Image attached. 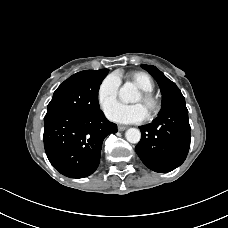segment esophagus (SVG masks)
I'll use <instances>...</instances> for the list:
<instances>
[{"label":"esophagus","instance_id":"esophagus-1","mask_svg":"<svg viewBox=\"0 0 228 228\" xmlns=\"http://www.w3.org/2000/svg\"><path fill=\"white\" fill-rule=\"evenodd\" d=\"M127 129V126H123V125H118V130L119 131H124Z\"/></svg>","mask_w":228,"mask_h":228}]
</instances>
